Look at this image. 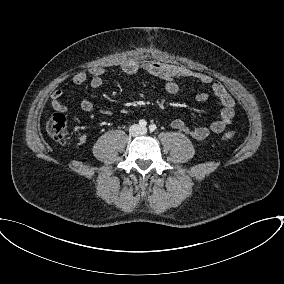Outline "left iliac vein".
<instances>
[{
	"label": "left iliac vein",
	"mask_w": 284,
	"mask_h": 284,
	"mask_svg": "<svg viewBox=\"0 0 284 284\" xmlns=\"http://www.w3.org/2000/svg\"><path fill=\"white\" fill-rule=\"evenodd\" d=\"M142 131H143V132H146V128H142Z\"/></svg>",
	"instance_id": "4c4485c4"
}]
</instances>
